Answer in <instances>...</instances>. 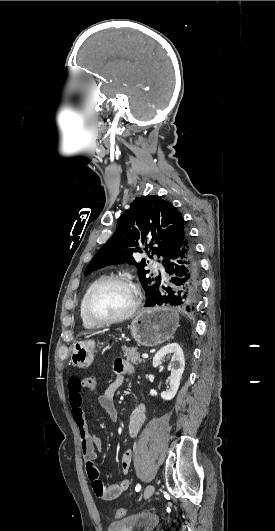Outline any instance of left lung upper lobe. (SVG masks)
Listing matches in <instances>:
<instances>
[{"instance_id":"5c2ea615","label":"left lung upper lobe","mask_w":275,"mask_h":531,"mask_svg":"<svg viewBox=\"0 0 275 531\" xmlns=\"http://www.w3.org/2000/svg\"><path fill=\"white\" fill-rule=\"evenodd\" d=\"M184 228L181 214L170 202L156 195L137 197L121 216L114 235L93 257L85 275L107 265L131 262L138 268L146 294L145 304L149 305L160 292L161 276L149 274L144 270L145 260L139 264L133 254L144 248L148 254L152 251L158 257L163 256L166 263L174 241Z\"/></svg>"}]
</instances>
